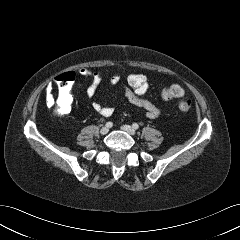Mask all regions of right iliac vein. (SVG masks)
<instances>
[{
	"mask_svg": "<svg viewBox=\"0 0 240 240\" xmlns=\"http://www.w3.org/2000/svg\"><path fill=\"white\" fill-rule=\"evenodd\" d=\"M108 132H109L108 127H103V128L100 130V133H101L102 135H105V134H107Z\"/></svg>",
	"mask_w": 240,
	"mask_h": 240,
	"instance_id": "right-iliac-vein-1",
	"label": "right iliac vein"
}]
</instances>
